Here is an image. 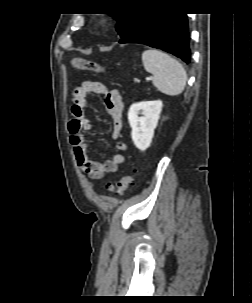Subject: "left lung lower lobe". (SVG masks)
I'll list each match as a JSON object with an SVG mask.
<instances>
[{"mask_svg": "<svg viewBox=\"0 0 252 303\" xmlns=\"http://www.w3.org/2000/svg\"><path fill=\"white\" fill-rule=\"evenodd\" d=\"M120 43H140L169 52L190 63L189 32L184 13L145 12Z\"/></svg>", "mask_w": 252, "mask_h": 303, "instance_id": "0a47b994", "label": "left lung lower lobe"}]
</instances>
